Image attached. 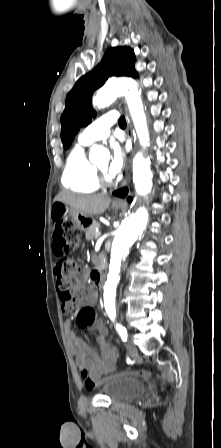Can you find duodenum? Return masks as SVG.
Instances as JSON below:
<instances>
[{"label":"duodenum","mask_w":221,"mask_h":448,"mask_svg":"<svg viewBox=\"0 0 221 448\" xmlns=\"http://www.w3.org/2000/svg\"><path fill=\"white\" fill-rule=\"evenodd\" d=\"M90 278L95 286L101 287L104 283V276L102 269L93 271L90 275Z\"/></svg>","instance_id":"410a0bca"}]
</instances>
